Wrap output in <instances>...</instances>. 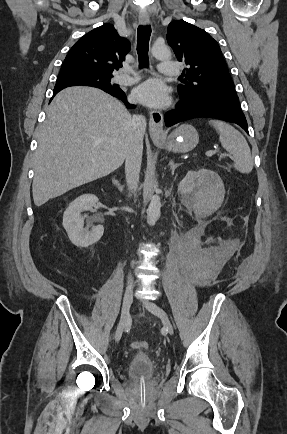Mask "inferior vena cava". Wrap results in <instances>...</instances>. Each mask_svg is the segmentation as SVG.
Wrapping results in <instances>:
<instances>
[{"label":"inferior vena cava","mask_w":287,"mask_h":434,"mask_svg":"<svg viewBox=\"0 0 287 434\" xmlns=\"http://www.w3.org/2000/svg\"><path fill=\"white\" fill-rule=\"evenodd\" d=\"M133 136L125 158L126 182L130 191L138 187L142 162L143 136L146 130V119L142 115H134L131 120ZM132 281L131 277H128Z\"/></svg>","instance_id":"602c4592"}]
</instances>
